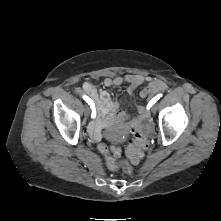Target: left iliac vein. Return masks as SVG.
Listing matches in <instances>:
<instances>
[{"mask_svg": "<svg viewBox=\"0 0 221 221\" xmlns=\"http://www.w3.org/2000/svg\"><path fill=\"white\" fill-rule=\"evenodd\" d=\"M156 110H157V106L154 105V106L152 107V112H156Z\"/></svg>", "mask_w": 221, "mask_h": 221, "instance_id": "obj_1", "label": "left iliac vein"}]
</instances>
